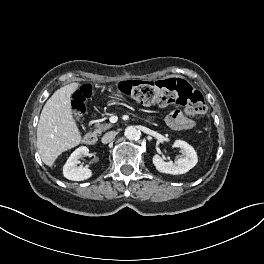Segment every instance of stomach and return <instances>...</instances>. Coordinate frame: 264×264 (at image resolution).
I'll use <instances>...</instances> for the list:
<instances>
[{
  "mask_svg": "<svg viewBox=\"0 0 264 264\" xmlns=\"http://www.w3.org/2000/svg\"><path fill=\"white\" fill-rule=\"evenodd\" d=\"M111 105H118L119 104V101H121V97L120 95H117V94H114L111 96Z\"/></svg>",
  "mask_w": 264,
  "mask_h": 264,
  "instance_id": "1",
  "label": "stomach"
}]
</instances>
